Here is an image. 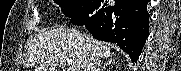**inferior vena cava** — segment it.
Instances as JSON below:
<instances>
[{
  "label": "inferior vena cava",
  "mask_w": 181,
  "mask_h": 71,
  "mask_svg": "<svg viewBox=\"0 0 181 71\" xmlns=\"http://www.w3.org/2000/svg\"><path fill=\"white\" fill-rule=\"evenodd\" d=\"M100 63V58L95 53H91L86 71H99Z\"/></svg>",
  "instance_id": "1"
}]
</instances>
